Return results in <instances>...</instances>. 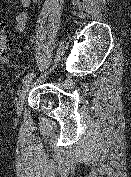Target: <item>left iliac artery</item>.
Segmentation results:
<instances>
[{"label": "left iliac artery", "mask_w": 131, "mask_h": 177, "mask_svg": "<svg viewBox=\"0 0 131 177\" xmlns=\"http://www.w3.org/2000/svg\"><path fill=\"white\" fill-rule=\"evenodd\" d=\"M35 76L34 72L28 73L24 78H23V83H26L27 81L31 80Z\"/></svg>", "instance_id": "obj_1"}]
</instances>
